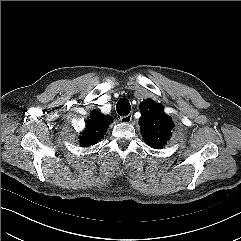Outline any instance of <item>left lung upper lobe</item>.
<instances>
[{
	"label": "left lung upper lobe",
	"instance_id": "1",
	"mask_svg": "<svg viewBox=\"0 0 241 241\" xmlns=\"http://www.w3.org/2000/svg\"><path fill=\"white\" fill-rule=\"evenodd\" d=\"M142 115L139 119L144 140L153 148L160 149L169 140L174 125L160 104L152 100L141 104Z\"/></svg>",
	"mask_w": 241,
	"mask_h": 241
}]
</instances>
